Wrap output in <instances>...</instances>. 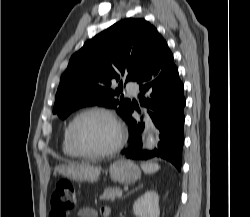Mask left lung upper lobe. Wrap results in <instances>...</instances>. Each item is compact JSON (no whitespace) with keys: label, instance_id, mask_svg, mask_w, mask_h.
Returning a JSON list of instances; mask_svg holds the SVG:
<instances>
[{"label":"left lung upper lobe","instance_id":"left-lung-upper-lobe-1","mask_svg":"<svg viewBox=\"0 0 250 217\" xmlns=\"http://www.w3.org/2000/svg\"><path fill=\"white\" fill-rule=\"evenodd\" d=\"M163 40L156 28L141 18L119 21L88 40L70 58L56 93L53 113L65 119L84 106L99 105L117 109L124 119L132 103L122 96V83H111L127 74L136 81L152 63Z\"/></svg>","mask_w":250,"mask_h":217}]
</instances>
